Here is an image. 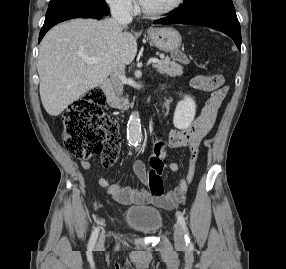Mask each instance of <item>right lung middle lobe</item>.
Wrapping results in <instances>:
<instances>
[{"label": "right lung middle lobe", "instance_id": "right-lung-middle-lobe-1", "mask_svg": "<svg viewBox=\"0 0 286 269\" xmlns=\"http://www.w3.org/2000/svg\"><path fill=\"white\" fill-rule=\"evenodd\" d=\"M74 12L110 13L105 0H50L45 21Z\"/></svg>", "mask_w": 286, "mask_h": 269}]
</instances>
